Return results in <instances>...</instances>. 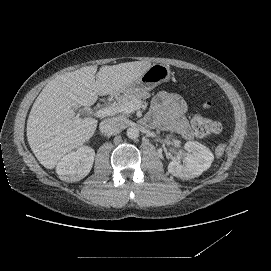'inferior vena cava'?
I'll return each mask as SVG.
<instances>
[{"mask_svg": "<svg viewBox=\"0 0 271 271\" xmlns=\"http://www.w3.org/2000/svg\"><path fill=\"white\" fill-rule=\"evenodd\" d=\"M127 126L126 120L122 118L112 117L106 119L100 123L99 131L103 134L108 132H120L121 130L125 129Z\"/></svg>", "mask_w": 271, "mask_h": 271, "instance_id": "1", "label": "inferior vena cava"}]
</instances>
